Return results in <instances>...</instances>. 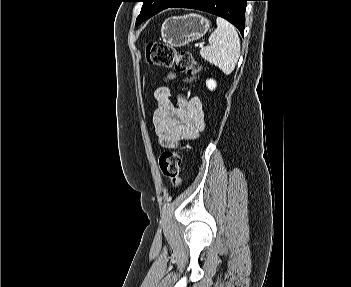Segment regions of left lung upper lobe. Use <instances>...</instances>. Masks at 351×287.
I'll use <instances>...</instances> for the list:
<instances>
[{
	"label": "left lung upper lobe",
	"instance_id": "5c2ea615",
	"mask_svg": "<svg viewBox=\"0 0 351 287\" xmlns=\"http://www.w3.org/2000/svg\"><path fill=\"white\" fill-rule=\"evenodd\" d=\"M143 2L141 12L136 19V25L167 9L177 0H140Z\"/></svg>",
	"mask_w": 351,
	"mask_h": 287
}]
</instances>
